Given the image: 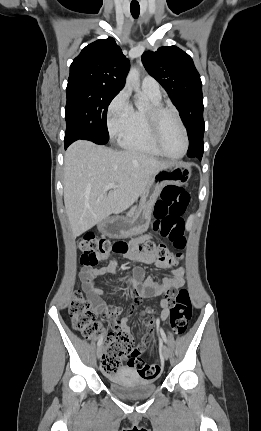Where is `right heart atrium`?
Here are the masks:
<instances>
[{"mask_svg":"<svg viewBox=\"0 0 261 431\" xmlns=\"http://www.w3.org/2000/svg\"><path fill=\"white\" fill-rule=\"evenodd\" d=\"M133 112L129 92L121 90L107 108V127L112 137L119 136L128 126Z\"/></svg>","mask_w":261,"mask_h":431,"instance_id":"right-heart-atrium-1","label":"right heart atrium"}]
</instances>
